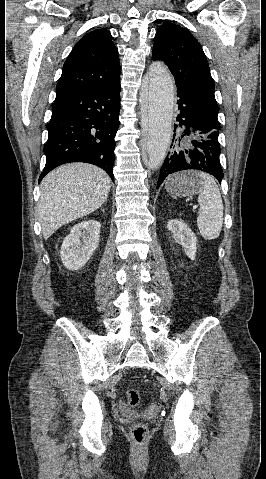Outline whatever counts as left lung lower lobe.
Here are the masks:
<instances>
[{"label": "left lung lower lobe", "mask_w": 266, "mask_h": 479, "mask_svg": "<svg viewBox=\"0 0 266 479\" xmlns=\"http://www.w3.org/2000/svg\"><path fill=\"white\" fill-rule=\"evenodd\" d=\"M179 111L175 125L180 135H173L170 151L161 167L157 188L164 179L178 171L195 169L207 172L221 183L224 176L219 161L218 119L182 91H177Z\"/></svg>", "instance_id": "left-lung-lower-lobe-1"}]
</instances>
